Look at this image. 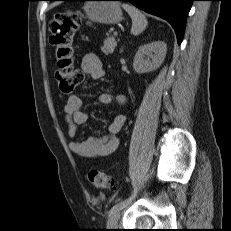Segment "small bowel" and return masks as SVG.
I'll return each instance as SVG.
<instances>
[{
  "mask_svg": "<svg viewBox=\"0 0 231 231\" xmlns=\"http://www.w3.org/2000/svg\"><path fill=\"white\" fill-rule=\"evenodd\" d=\"M83 71L94 79L103 76L104 68L101 60L92 53L84 55L81 63ZM117 102L123 105L126 97L119 95ZM99 101L102 104H110L112 97L109 93H101ZM65 120L67 123V136L70 139L76 137L78 126L86 123L88 116L83 110V101L76 95L68 96L64 105ZM126 122L125 115H118L108 126V134L105 136H91L85 140H73L69 143L71 152L81 158L101 159L110 156L119 146L118 133Z\"/></svg>",
  "mask_w": 231,
  "mask_h": 231,
  "instance_id": "c3829d8e",
  "label": "small bowel"
}]
</instances>
